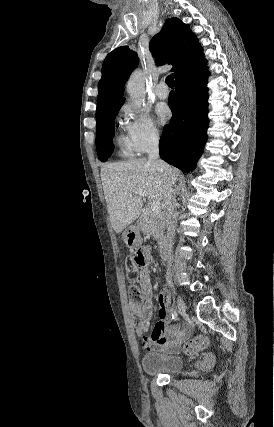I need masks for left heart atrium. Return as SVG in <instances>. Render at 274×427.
I'll use <instances>...</instances> for the list:
<instances>
[{
	"label": "left heart atrium",
	"mask_w": 274,
	"mask_h": 427,
	"mask_svg": "<svg viewBox=\"0 0 274 427\" xmlns=\"http://www.w3.org/2000/svg\"><path fill=\"white\" fill-rule=\"evenodd\" d=\"M171 118V110L170 108L164 104L159 103L155 107V119L159 125H164Z\"/></svg>",
	"instance_id": "obj_1"
}]
</instances>
